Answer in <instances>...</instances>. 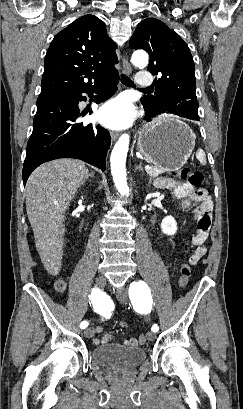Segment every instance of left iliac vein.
<instances>
[{
  "mask_svg": "<svg viewBox=\"0 0 243 409\" xmlns=\"http://www.w3.org/2000/svg\"><path fill=\"white\" fill-rule=\"evenodd\" d=\"M117 298L123 304H126L128 302V295L125 289H121L117 292ZM146 336L150 341H153L156 338V334L153 331H148Z\"/></svg>",
  "mask_w": 243,
  "mask_h": 409,
  "instance_id": "1",
  "label": "left iliac vein"
}]
</instances>
